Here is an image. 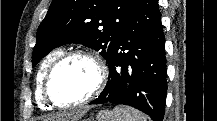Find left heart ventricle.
Listing matches in <instances>:
<instances>
[{"label":"left heart ventricle","mask_w":217,"mask_h":121,"mask_svg":"<svg viewBox=\"0 0 217 121\" xmlns=\"http://www.w3.org/2000/svg\"><path fill=\"white\" fill-rule=\"evenodd\" d=\"M97 80L95 65L86 58H72L55 73L51 94L62 104L78 102L88 96Z\"/></svg>","instance_id":"left-heart-ventricle-1"}]
</instances>
